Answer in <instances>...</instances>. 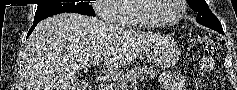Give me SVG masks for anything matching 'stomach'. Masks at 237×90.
<instances>
[{
	"label": "stomach",
	"instance_id": "obj_1",
	"mask_svg": "<svg viewBox=\"0 0 237 90\" xmlns=\"http://www.w3.org/2000/svg\"><path fill=\"white\" fill-rule=\"evenodd\" d=\"M180 56L178 49L174 47L165 48V50H154L155 64L162 68H167L174 65Z\"/></svg>",
	"mask_w": 237,
	"mask_h": 90
}]
</instances>
